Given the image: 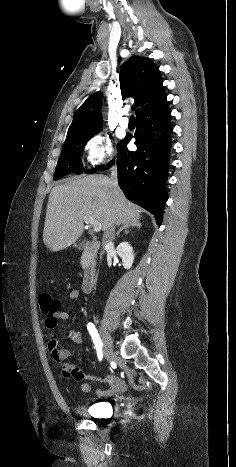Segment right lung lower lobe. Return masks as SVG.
Wrapping results in <instances>:
<instances>
[{"mask_svg":"<svg viewBox=\"0 0 236 467\" xmlns=\"http://www.w3.org/2000/svg\"><path fill=\"white\" fill-rule=\"evenodd\" d=\"M166 97L156 105L140 113L134 133L137 150L130 152L127 144L132 137L126 136L118 147V183L127 199L152 214L158 225L162 223L163 207L167 191L169 153L172 126ZM114 160L98 170H106Z\"/></svg>","mask_w":236,"mask_h":467,"instance_id":"98d812e1","label":"right lung lower lobe"}]
</instances>
